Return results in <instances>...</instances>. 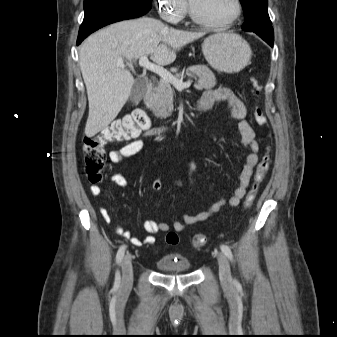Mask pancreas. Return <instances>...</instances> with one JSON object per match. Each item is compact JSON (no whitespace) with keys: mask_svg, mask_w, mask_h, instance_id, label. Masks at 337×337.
<instances>
[{"mask_svg":"<svg viewBox=\"0 0 337 337\" xmlns=\"http://www.w3.org/2000/svg\"><path fill=\"white\" fill-rule=\"evenodd\" d=\"M189 77H198L194 87L197 90L211 89L216 85V78L213 72L205 65L192 66L186 70ZM177 78H184V71L176 74ZM149 107L157 118L165 119L171 116L173 111V89L171 83L160 79L153 88L152 96L149 101Z\"/></svg>","mask_w":337,"mask_h":337,"instance_id":"pancreas-1","label":"pancreas"}]
</instances>
